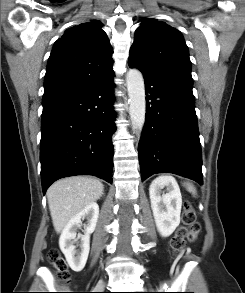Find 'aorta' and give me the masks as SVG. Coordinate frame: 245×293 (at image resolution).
<instances>
[{
    "label": "aorta",
    "mask_w": 245,
    "mask_h": 293,
    "mask_svg": "<svg viewBox=\"0 0 245 293\" xmlns=\"http://www.w3.org/2000/svg\"><path fill=\"white\" fill-rule=\"evenodd\" d=\"M126 83L132 125L134 129L141 131L145 123L146 113L145 86L142 73L137 69H130L126 74Z\"/></svg>",
    "instance_id": "762f6f07"
}]
</instances>
